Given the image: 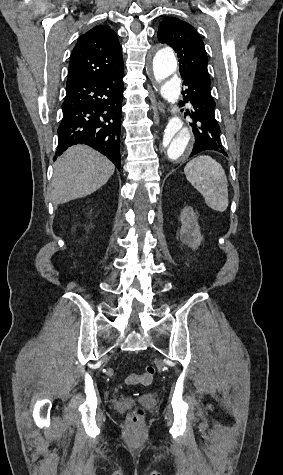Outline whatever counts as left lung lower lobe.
<instances>
[{"mask_svg": "<svg viewBox=\"0 0 283 475\" xmlns=\"http://www.w3.org/2000/svg\"><path fill=\"white\" fill-rule=\"evenodd\" d=\"M187 86L182 92L184 102L193 109L187 114L192 118V131L195 136L191 156L205 150H214L227 156L220 139V127L215 119V101L210 93V78L192 73H180Z\"/></svg>", "mask_w": 283, "mask_h": 475, "instance_id": "0a47b994", "label": "left lung lower lobe"}]
</instances>
